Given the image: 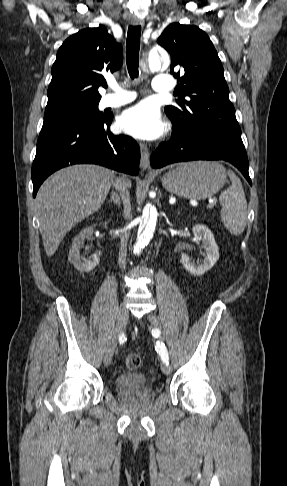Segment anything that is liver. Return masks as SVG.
<instances>
[{"label":"liver","instance_id":"6515ba94","mask_svg":"<svg viewBox=\"0 0 287 486\" xmlns=\"http://www.w3.org/2000/svg\"><path fill=\"white\" fill-rule=\"evenodd\" d=\"M113 171L91 164L63 168L40 187L35 203L47 256L58 249L65 235L99 210L114 183ZM127 188L131 181L121 178Z\"/></svg>","mask_w":287,"mask_h":486}]
</instances>
